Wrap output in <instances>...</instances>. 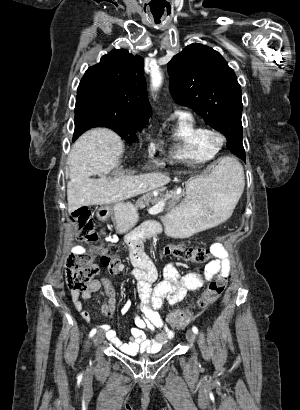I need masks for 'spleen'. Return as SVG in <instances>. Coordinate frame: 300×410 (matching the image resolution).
Segmentation results:
<instances>
[{"label": "spleen", "mask_w": 300, "mask_h": 410, "mask_svg": "<svg viewBox=\"0 0 300 410\" xmlns=\"http://www.w3.org/2000/svg\"><path fill=\"white\" fill-rule=\"evenodd\" d=\"M219 167L222 170L231 169L234 172L233 183H234V186H235L236 195L239 199L242 192H243L244 186H245L243 167L240 165V163H238L237 161H235L232 158L222 159V161L220 162Z\"/></svg>", "instance_id": "3e777b00"}]
</instances>
